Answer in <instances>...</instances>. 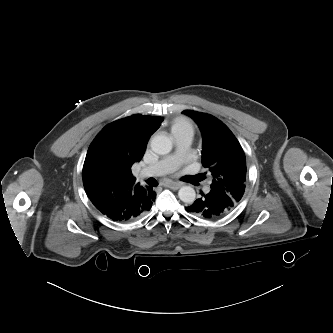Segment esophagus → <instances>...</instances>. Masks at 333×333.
<instances>
[{
  "mask_svg": "<svg viewBox=\"0 0 333 333\" xmlns=\"http://www.w3.org/2000/svg\"><path fill=\"white\" fill-rule=\"evenodd\" d=\"M166 187L177 190L178 188L181 187V183L180 182H172V181H168L164 184Z\"/></svg>",
  "mask_w": 333,
  "mask_h": 333,
  "instance_id": "esophagus-1",
  "label": "esophagus"
}]
</instances>
